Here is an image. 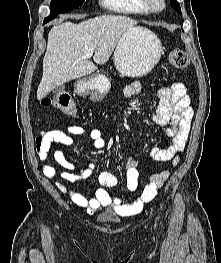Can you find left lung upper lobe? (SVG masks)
Returning a JSON list of instances; mask_svg holds the SVG:
<instances>
[{
  "mask_svg": "<svg viewBox=\"0 0 221 263\" xmlns=\"http://www.w3.org/2000/svg\"><path fill=\"white\" fill-rule=\"evenodd\" d=\"M171 6L177 11L178 13H181V8L177 0H170Z\"/></svg>",
  "mask_w": 221,
  "mask_h": 263,
  "instance_id": "1",
  "label": "left lung upper lobe"
}]
</instances>
